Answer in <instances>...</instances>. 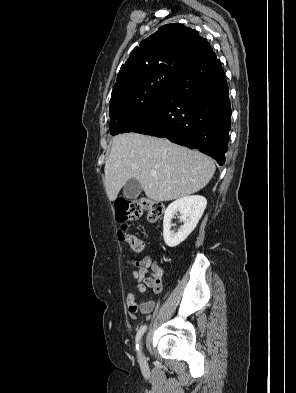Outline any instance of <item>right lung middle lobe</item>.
I'll return each instance as SVG.
<instances>
[{
	"instance_id": "obj_1",
	"label": "right lung middle lobe",
	"mask_w": 296,
	"mask_h": 393,
	"mask_svg": "<svg viewBox=\"0 0 296 393\" xmlns=\"http://www.w3.org/2000/svg\"><path fill=\"white\" fill-rule=\"evenodd\" d=\"M175 80H152L139 95L109 104L110 134H119L125 126L147 112L165 92L172 88Z\"/></svg>"
}]
</instances>
